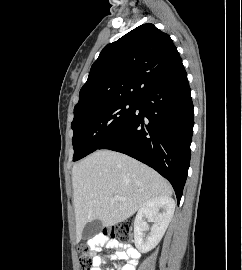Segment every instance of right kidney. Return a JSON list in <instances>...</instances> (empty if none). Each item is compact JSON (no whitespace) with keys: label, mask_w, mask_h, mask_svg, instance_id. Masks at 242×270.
I'll return each instance as SVG.
<instances>
[{"label":"right kidney","mask_w":242,"mask_h":270,"mask_svg":"<svg viewBox=\"0 0 242 270\" xmlns=\"http://www.w3.org/2000/svg\"><path fill=\"white\" fill-rule=\"evenodd\" d=\"M174 210L175 201L168 196L151 198L140 207L134 220V241L140 252L146 253L156 247L173 217ZM145 218L154 222L146 238L145 232L149 227Z\"/></svg>","instance_id":"right-kidney-1"}]
</instances>
